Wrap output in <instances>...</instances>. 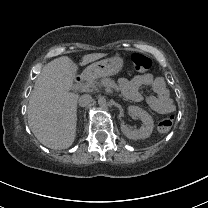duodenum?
I'll return each mask as SVG.
<instances>
[{"label":"duodenum","instance_id":"410a0bca","mask_svg":"<svg viewBox=\"0 0 208 208\" xmlns=\"http://www.w3.org/2000/svg\"><path fill=\"white\" fill-rule=\"evenodd\" d=\"M86 82H87L86 76L77 77L75 80V86H76V88H81L85 85Z\"/></svg>","mask_w":208,"mask_h":208}]
</instances>
